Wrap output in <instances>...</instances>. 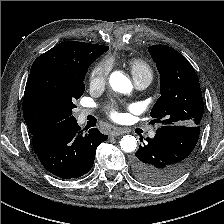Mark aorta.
Segmentation results:
<instances>
[{"instance_id": "762f6f07", "label": "aorta", "mask_w": 224, "mask_h": 224, "mask_svg": "<svg viewBox=\"0 0 224 224\" xmlns=\"http://www.w3.org/2000/svg\"><path fill=\"white\" fill-rule=\"evenodd\" d=\"M110 86L114 91L120 93H130L132 90V84L129 78L121 71H115L109 78ZM137 140L132 135H125L120 140V147L124 152L130 153L136 149Z\"/></svg>"}]
</instances>
